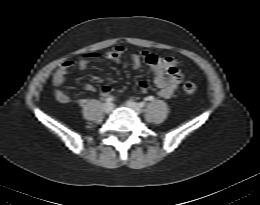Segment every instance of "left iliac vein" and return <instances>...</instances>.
I'll use <instances>...</instances> for the list:
<instances>
[{
	"mask_svg": "<svg viewBox=\"0 0 260 205\" xmlns=\"http://www.w3.org/2000/svg\"><path fill=\"white\" fill-rule=\"evenodd\" d=\"M126 105H127V107L131 108L136 114L141 113V108L138 103L129 100L126 102Z\"/></svg>",
	"mask_w": 260,
	"mask_h": 205,
	"instance_id": "4c4485c4",
	"label": "left iliac vein"
}]
</instances>
